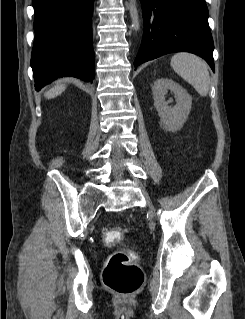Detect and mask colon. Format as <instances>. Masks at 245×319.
I'll use <instances>...</instances> for the list:
<instances>
[{
  "mask_svg": "<svg viewBox=\"0 0 245 319\" xmlns=\"http://www.w3.org/2000/svg\"><path fill=\"white\" fill-rule=\"evenodd\" d=\"M125 230L109 227L102 230L107 245H116L122 241ZM144 273L136 264V255L130 251L115 252L105 263L103 283L116 293L129 296L137 292L144 283Z\"/></svg>",
  "mask_w": 245,
  "mask_h": 319,
  "instance_id": "5ec220e1",
  "label": "colon"
}]
</instances>
